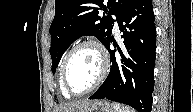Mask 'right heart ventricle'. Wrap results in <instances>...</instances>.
I'll return each mask as SVG.
<instances>
[{
	"instance_id": "obj_1",
	"label": "right heart ventricle",
	"mask_w": 193,
	"mask_h": 112,
	"mask_svg": "<svg viewBox=\"0 0 193 112\" xmlns=\"http://www.w3.org/2000/svg\"><path fill=\"white\" fill-rule=\"evenodd\" d=\"M66 53L62 56L61 62H60V69H59V88H60V92L62 94L63 97L65 98H69L70 95L67 94V92L65 91L64 87H63V83H62V78H61V68H62V64H63V60L65 58Z\"/></svg>"
}]
</instances>
